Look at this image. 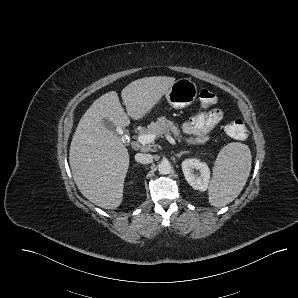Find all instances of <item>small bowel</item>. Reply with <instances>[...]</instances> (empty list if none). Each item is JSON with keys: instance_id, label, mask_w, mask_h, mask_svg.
<instances>
[{"instance_id": "small-bowel-1", "label": "small bowel", "mask_w": 298, "mask_h": 298, "mask_svg": "<svg viewBox=\"0 0 298 298\" xmlns=\"http://www.w3.org/2000/svg\"><path fill=\"white\" fill-rule=\"evenodd\" d=\"M224 118V111L219 108L193 116L183 123V131L193 135L198 141H203L207 134Z\"/></svg>"}]
</instances>
